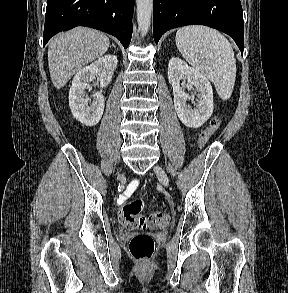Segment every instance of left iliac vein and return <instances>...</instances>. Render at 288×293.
<instances>
[{"mask_svg":"<svg viewBox=\"0 0 288 293\" xmlns=\"http://www.w3.org/2000/svg\"><path fill=\"white\" fill-rule=\"evenodd\" d=\"M153 170H154L155 174L157 175L158 179L161 181V183L164 186H168L169 179H168V176L165 173V171L158 165L154 166Z\"/></svg>","mask_w":288,"mask_h":293,"instance_id":"1","label":"left iliac vein"}]
</instances>
